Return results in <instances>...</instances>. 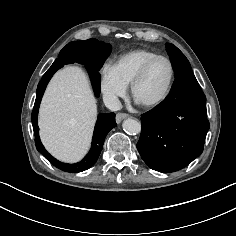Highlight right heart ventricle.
Here are the masks:
<instances>
[{
  "label": "right heart ventricle",
  "mask_w": 236,
  "mask_h": 236,
  "mask_svg": "<svg viewBox=\"0 0 236 236\" xmlns=\"http://www.w3.org/2000/svg\"><path fill=\"white\" fill-rule=\"evenodd\" d=\"M158 54L145 48H137L120 54L114 61L112 67L118 78L129 86L139 69L149 59Z\"/></svg>",
  "instance_id": "1"
}]
</instances>
